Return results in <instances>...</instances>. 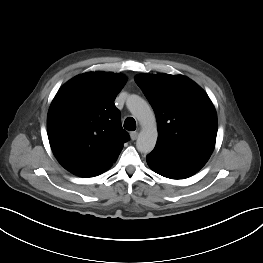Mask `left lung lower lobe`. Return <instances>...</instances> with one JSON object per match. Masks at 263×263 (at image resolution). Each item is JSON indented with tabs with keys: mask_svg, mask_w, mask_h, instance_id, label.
<instances>
[{
	"mask_svg": "<svg viewBox=\"0 0 263 263\" xmlns=\"http://www.w3.org/2000/svg\"><path fill=\"white\" fill-rule=\"evenodd\" d=\"M209 157L206 154L172 152L155 147L146 160L156 173L171 179H183L198 172Z\"/></svg>",
	"mask_w": 263,
	"mask_h": 263,
	"instance_id": "1",
	"label": "left lung lower lobe"
}]
</instances>
